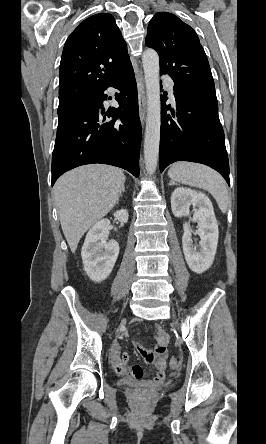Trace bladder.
Segmentation results:
<instances>
[{
    "instance_id": "bladder-1",
    "label": "bladder",
    "mask_w": 266,
    "mask_h": 444,
    "mask_svg": "<svg viewBox=\"0 0 266 444\" xmlns=\"http://www.w3.org/2000/svg\"><path fill=\"white\" fill-rule=\"evenodd\" d=\"M124 384L126 387L131 388V389H141L144 388V385L137 381V380H133V379H126L124 380ZM159 388H162L164 386H158Z\"/></svg>"
}]
</instances>
